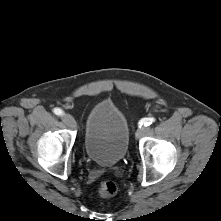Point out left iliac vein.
Returning a JSON list of instances; mask_svg holds the SVG:
<instances>
[{
    "label": "left iliac vein",
    "instance_id": "1",
    "mask_svg": "<svg viewBox=\"0 0 221 221\" xmlns=\"http://www.w3.org/2000/svg\"><path fill=\"white\" fill-rule=\"evenodd\" d=\"M148 128L147 127H139L136 131V138L139 139L141 138L146 132H147Z\"/></svg>",
    "mask_w": 221,
    "mask_h": 221
}]
</instances>
